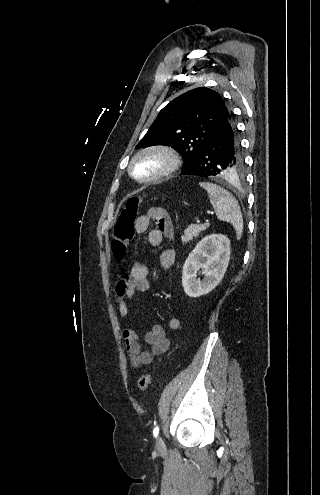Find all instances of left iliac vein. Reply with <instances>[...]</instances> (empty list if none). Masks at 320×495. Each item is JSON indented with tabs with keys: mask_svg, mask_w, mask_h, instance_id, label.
I'll return each mask as SVG.
<instances>
[{
	"mask_svg": "<svg viewBox=\"0 0 320 495\" xmlns=\"http://www.w3.org/2000/svg\"><path fill=\"white\" fill-rule=\"evenodd\" d=\"M156 449L158 451H163L165 449V443L160 436L156 439Z\"/></svg>",
	"mask_w": 320,
	"mask_h": 495,
	"instance_id": "left-iliac-vein-1",
	"label": "left iliac vein"
}]
</instances>
